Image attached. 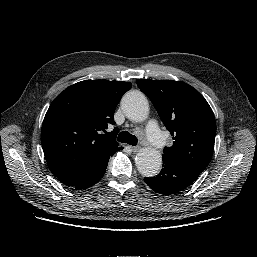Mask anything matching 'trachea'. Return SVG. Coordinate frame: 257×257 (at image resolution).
<instances>
[{"mask_svg":"<svg viewBox=\"0 0 257 257\" xmlns=\"http://www.w3.org/2000/svg\"><path fill=\"white\" fill-rule=\"evenodd\" d=\"M117 140L119 142L127 143V144L133 145V146L137 145V143H138V139L134 135L130 134L127 131L120 132L117 137Z\"/></svg>","mask_w":257,"mask_h":257,"instance_id":"obj_1","label":"trachea"}]
</instances>
